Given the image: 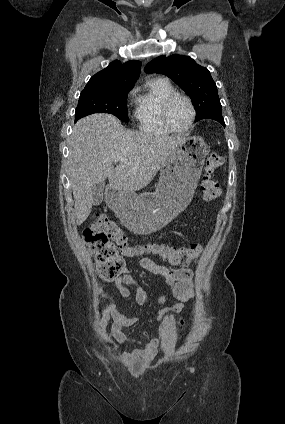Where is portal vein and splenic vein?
I'll use <instances>...</instances> for the list:
<instances>
[{
  "label": "portal vein and splenic vein",
  "mask_w": 285,
  "mask_h": 424,
  "mask_svg": "<svg viewBox=\"0 0 285 424\" xmlns=\"http://www.w3.org/2000/svg\"><path fill=\"white\" fill-rule=\"evenodd\" d=\"M116 159L119 160V161H122V162H125L126 163L125 158L122 157V156H118Z\"/></svg>",
  "instance_id": "18ae733b"
}]
</instances>
